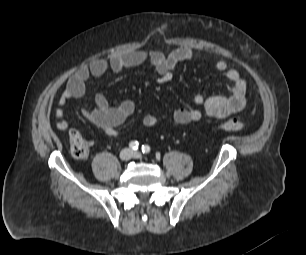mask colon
<instances>
[{"label": "colon", "mask_w": 306, "mask_h": 255, "mask_svg": "<svg viewBox=\"0 0 306 255\" xmlns=\"http://www.w3.org/2000/svg\"><path fill=\"white\" fill-rule=\"evenodd\" d=\"M243 128V122L237 118H229L217 125V129L224 131L237 132L243 130ZM68 137L72 156L78 159L87 157L90 144L83 135L79 131L72 129L69 131Z\"/></svg>", "instance_id": "obj_1"}]
</instances>
